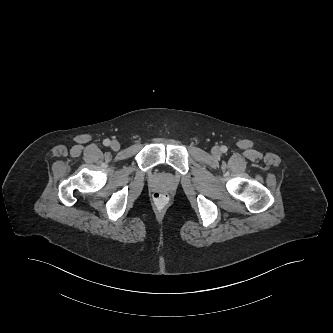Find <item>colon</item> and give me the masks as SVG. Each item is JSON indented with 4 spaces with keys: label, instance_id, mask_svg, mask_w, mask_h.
Masks as SVG:
<instances>
[{
    "label": "colon",
    "instance_id": "1",
    "mask_svg": "<svg viewBox=\"0 0 333 333\" xmlns=\"http://www.w3.org/2000/svg\"><path fill=\"white\" fill-rule=\"evenodd\" d=\"M154 200L152 202V205L155 209L161 210L165 207L168 195L164 192H157L154 194Z\"/></svg>",
    "mask_w": 333,
    "mask_h": 333
}]
</instances>
